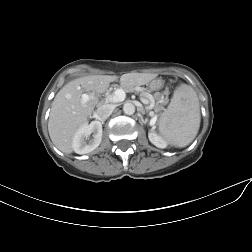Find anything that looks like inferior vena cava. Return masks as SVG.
Segmentation results:
<instances>
[{"label":"inferior vena cava","mask_w":252,"mask_h":252,"mask_svg":"<svg viewBox=\"0 0 252 252\" xmlns=\"http://www.w3.org/2000/svg\"><path fill=\"white\" fill-rule=\"evenodd\" d=\"M114 109H115V105H113V104L100 105L97 108V115L101 119H106L112 114Z\"/></svg>","instance_id":"inferior-vena-cava-1"}]
</instances>
